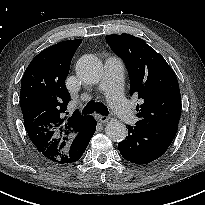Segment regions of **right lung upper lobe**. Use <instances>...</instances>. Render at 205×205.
<instances>
[{
	"label": "right lung upper lobe",
	"instance_id": "cb5924a9",
	"mask_svg": "<svg viewBox=\"0 0 205 205\" xmlns=\"http://www.w3.org/2000/svg\"><path fill=\"white\" fill-rule=\"evenodd\" d=\"M81 42L62 41L44 49L30 62L21 81L20 105L29 138L45 158L59 164L65 163L70 142L90 118L78 111L65 116L70 101L65 79Z\"/></svg>",
	"mask_w": 205,
	"mask_h": 205
}]
</instances>
